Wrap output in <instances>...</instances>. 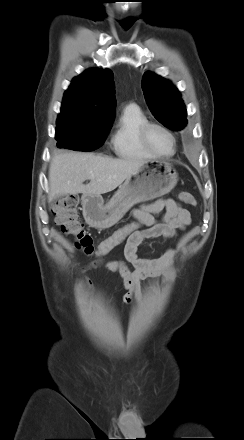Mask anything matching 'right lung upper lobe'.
<instances>
[{
	"label": "right lung upper lobe",
	"instance_id": "right-lung-upper-lobe-1",
	"mask_svg": "<svg viewBox=\"0 0 244 440\" xmlns=\"http://www.w3.org/2000/svg\"><path fill=\"white\" fill-rule=\"evenodd\" d=\"M113 74L93 68L74 78L64 94L57 122L65 120L112 123L115 115Z\"/></svg>",
	"mask_w": 244,
	"mask_h": 440
}]
</instances>
